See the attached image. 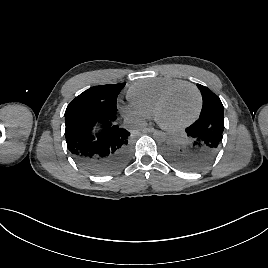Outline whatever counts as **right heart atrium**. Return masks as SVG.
<instances>
[{"label": "right heart atrium", "instance_id": "d8ad5b80", "mask_svg": "<svg viewBox=\"0 0 268 268\" xmlns=\"http://www.w3.org/2000/svg\"><path fill=\"white\" fill-rule=\"evenodd\" d=\"M121 111L127 118L137 123H143L151 117L145 111H143L142 109L138 108L137 106L131 103L122 104Z\"/></svg>", "mask_w": 268, "mask_h": 268}]
</instances>
